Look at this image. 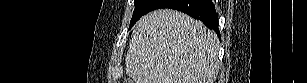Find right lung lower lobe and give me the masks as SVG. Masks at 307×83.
Returning a JSON list of instances; mask_svg holds the SVG:
<instances>
[{
	"label": "right lung lower lobe",
	"mask_w": 307,
	"mask_h": 83,
	"mask_svg": "<svg viewBox=\"0 0 307 83\" xmlns=\"http://www.w3.org/2000/svg\"><path fill=\"white\" fill-rule=\"evenodd\" d=\"M158 8L179 10L197 18L209 29H213L220 38L218 14L211 0H154L149 12Z\"/></svg>",
	"instance_id": "right-lung-lower-lobe-1"
}]
</instances>
